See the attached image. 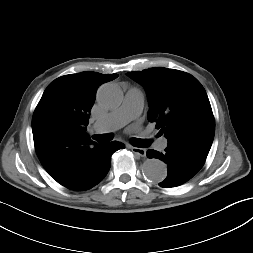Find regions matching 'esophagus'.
<instances>
[{"label":"esophagus","mask_w":253,"mask_h":253,"mask_svg":"<svg viewBox=\"0 0 253 253\" xmlns=\"http://www.w3.org/2000/svg\"><path fill=\"white\" fill-rule=\"evenodd\" d=\"M131 150L133 151V153L141 156V157H145L146 156V149L144 148H139V147H131Z\"/></svg>","instance_id":"obj_1"}]
</instances>
